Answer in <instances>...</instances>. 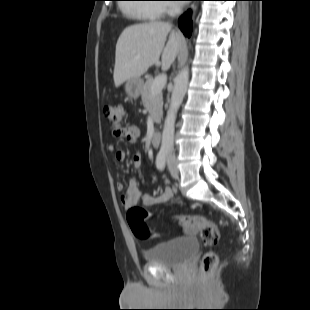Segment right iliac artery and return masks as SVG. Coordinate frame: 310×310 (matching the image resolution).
Listing matches in <instances>:
<instances>
[{
	"mask_svg": "<svg viewBox=\"0 0 310 310\" xmlns=\"http://www.w3.org/2000/svg\"><path fill=\"white\" fill-rule=\"evenodd\" d=\"M168 154L167 149H161L156 157V166L159 170H163L165 167L166 157Z\"/></svg>",
	"mask_w": 310,
	"mask_h": 310,
	"instance_id": "82829eb1",
	"label": "right iliac artery"
}]
</instances>
